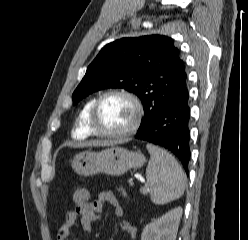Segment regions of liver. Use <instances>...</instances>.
<instances>
[{
    "label": "liver",
    "instance_id": "liver-1",
    "mask_svg": "<svg viewBox=\"0 0 248 240\" xmlns=\"http://www.w3.org/2000/svg\"><path fill=\"white\" fill-rule=\"evenodd\" d=\"M107 144L106 142H100V141H93L89 143H85L84 146H100V145H105Z\"/></svg>",
    "mask_w": 248,
    "mask_h": 240
}]
</instances>
